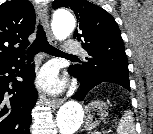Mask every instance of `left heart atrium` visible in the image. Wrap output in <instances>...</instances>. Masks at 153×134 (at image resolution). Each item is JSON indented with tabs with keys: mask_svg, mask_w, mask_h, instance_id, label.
Masks as SVG:
<instances>
[{
	"mask_svg": "<svg viewBox=\"0 0 153 134\" xmlns=\"http://www.w3.org/2000/svg\"><path fill=\"white\" fill-rule=\"evenodd\" d=\"M38 84L51 93L60 92L64 86L57 72L51 67H46L41 71L38 77Z\"/></svg>",
	"mask_w": 153,
	"mask_h": 134,
	"instance_id": "left-heart-atrium-1",
	"label": "left heart atrium"
}]
</instances>
